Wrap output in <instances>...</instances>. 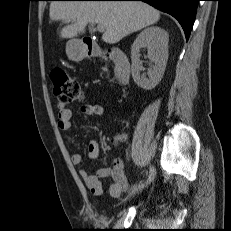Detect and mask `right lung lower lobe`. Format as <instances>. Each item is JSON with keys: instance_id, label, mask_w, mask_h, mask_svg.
Instances as JSON below:
<instances>
[{"instance_id": "98d812e1", "label": "right lung lower lobe", "mask_w": 231, "mask_h": 231, "mask_svg": "<svg viewBox=\"0 0 231 231\" xmlns=\"http://www.w3.org/2000/svg\"><path fill=\"white\" fill-rule=\"evenodd\" d=\"M94 1H144L151 6L172 15L181 24L188 40L196 17L200 0H94Z\"/></svg>"}]
</instances>
